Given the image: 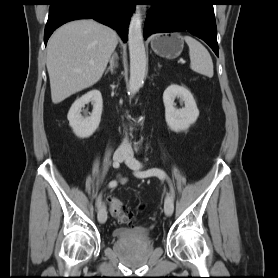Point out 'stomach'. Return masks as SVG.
I'll return each instance as SVG.
<instances>
[{
	"label": "stomach",
	"instance_id": "stomach-1",
	"mask_svg": "<svg viewBox=\"0 0 278 278\" xmlns=\"http://www.w3.org/2000/svg\"><path fill=\"white\" fill-rule=\"evenodd\" d=\"M183 38L179 33L158 34L151 40L152 50L159 56L168 59L178 57L183 50Z\"/></svg>",
	"mask_w": 278,
	"mask_h": 278
}]
</instances>
